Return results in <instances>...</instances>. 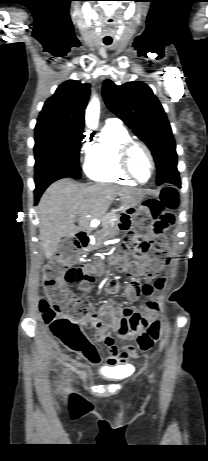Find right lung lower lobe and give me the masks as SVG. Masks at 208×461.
I'll return each instance as SVG.
<instances>
[{
	"label": "right lung lower lobe",
	"instance_id": "right-lung-lower-lobe-1",
	"mask_svg": "<svg viewBox=\"0 0 208 461\" xmlns=\"http://www.w3.org/2000/svg\"><path fill=\"white\" fill-rule=\"evenodd\" d=\"M68 177L67 175L64 174H58V175H52L47 178H45L43 181L39 183H35V204L39 201L40 196L44 192V190L54 181L59 180L61 178H66Z\"/></svg>",
	"mask_w": 208,
	"mask_h": 461
}]
</instances>
